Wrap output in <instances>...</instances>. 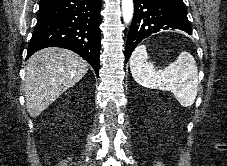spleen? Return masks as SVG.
Segmentation results:
<instances>
[{
    "label": "spleen",
    "mask_w": 227,
    "mask_h": 166,
    "mask_svg": "<svg viewBox=\"0 0 227 166\" xmlns=\"http://www.w3.org/2000/svg\"><path fill=\"white\" fill-rule=\"evenodd\" d=\"M145 45H139L130 58V70L134 80L147 88L170 91L183 107L195 102L198 92V68L193 56L183 51L176 61L156 71L152 63L147 62Z\"/></svg>",
    "instance_id": "spleen-1"
}]
</instances>
